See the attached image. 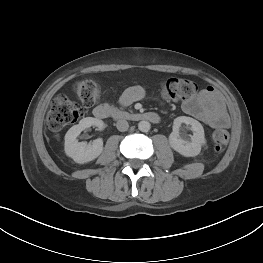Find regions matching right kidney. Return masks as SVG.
Masks as SVG:
<instances>
[{
    "label": "right kidney",
    "instance_id": "right-kidney-1",
    "mask_svg": "<svg viewBox=\"0 0 263 263\" xmlns=\"http://www.w3.org/2000/svg\"><path fill=\"white\" fill-rule=\"evenodd\" d=\"M91 126L99 129L104 127V122L97 118H83L79 124L72 126L65 135V153L71 157L76 163L84 164L96 159L103 151L102 139H96L92 144L78 142L79 134Z\"/></svg>",
    "mask_w": 263,
    "mask_h": 263
}]
</instances>
